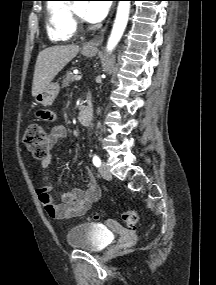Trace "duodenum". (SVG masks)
Returning <instances> with one entry per match:
<instances>
[{"label": "duodenum", "instance_id": "410a0bca", "mask_svg": "<svg viewBox=\"0 0 216 285\" xmlns=\"http://www.w3.org/2000/svg\"><path fill=\"white\" fill-rule=\"evenodd\" d=\"M93 118V110L90 106H83L79 111V120L83 125H89Z\"/></svg>", "mask_w": 216, "mask_h": 285}]
</instances>
